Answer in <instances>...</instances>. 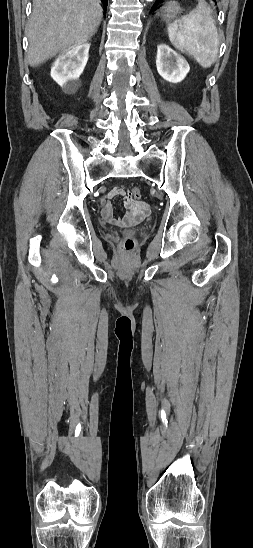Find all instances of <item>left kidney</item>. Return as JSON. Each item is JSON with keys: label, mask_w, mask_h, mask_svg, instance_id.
<instances>
[{"label": "left kidney", "mask_w": 253, "mask_h": 548, "mask_svg": "<svg viewBox=\"0 0 253 548\" xmlns=\"http://www.w3.org/2000/svg\"><path fill=\"white\" fill-rule=\"evenodd\" d=\"M156 67L159 75L171 83L182 81L190 70L188 62L166 44L157 46Z\"/></svg>", "instance_id": "obj_1"}]
</instances>
